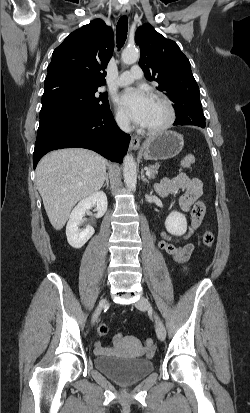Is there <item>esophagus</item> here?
I'll return each mask as SVG.
<instances>
[{
  "label": "esophagus",
  "mask_w": 250,
  "mask_h": 413,
  "mask_svg": "<svg viewBox=\"0 0 250 413\" xmlns=\"http://www.w3.org/2000/svg\"><path fill=\"white\" fill-rule=\"evenodd\" d=\"M129 12H130L129 5H125L121 10L122 15H127ZM139 146H140V138L137 136H132L131 141H130V149L137 150Z\"/></svg>",
  "instance_id": "esophagus-1"
}]
</instances>
